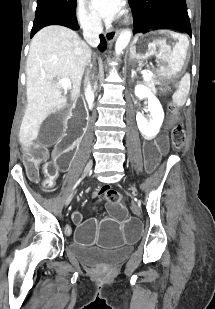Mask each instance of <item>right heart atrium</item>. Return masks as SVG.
I'll use <instances>...</instances> for the list:
<instances>
[{
  "mask_svg": "<svg viewBox=\"0 0 215 309\" xmlns=\"http://www.w3.org/2000/svg\"><path fill=\"white\" fill-rule=\"evenodd\" d=\"M85 5V2H82ZM78 20L84 31L90 32L99 29L100 25L96 17L89 10L82 8L78 12Z\"/></svg>",
  "mask_w": 215,
  "mask_h": 309,
  "instance_id": "obj_1",
  "label": "right heart atrium"
}]
</instances>
